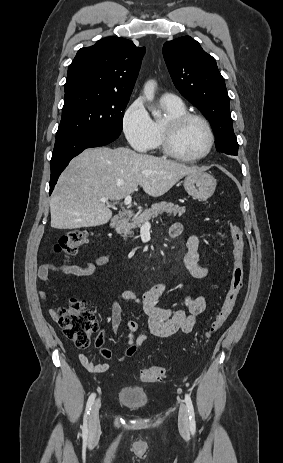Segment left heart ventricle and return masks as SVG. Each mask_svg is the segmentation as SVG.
I'll use <instances>...</instances> for the list:
<instances>
[{"instance_id": "obj_1", "label": "left heart ventricle", "mask_w": 283, "mask_h": 463, "mask_svg": "<svg viewBox=\"0 0 283 463\" xmlns=\"http://www.w3.org/2000/svg\"><path fill=\"white\" fill-rule=\"evenodd\" d=\"M209 137L207 130L199 120L186 122L179 130L176 139V149L184 156L195 157L205 152Z\"/></svg>"}]
</instances>
